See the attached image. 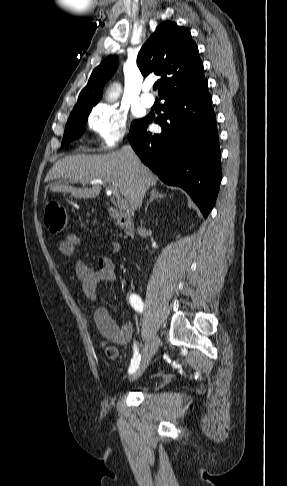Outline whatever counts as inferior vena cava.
Masks as SVG:
<instances>
[{
    "label": "inferior vena cava",
    "mask_w": 287,
    "mask_h": 486,
    "mask_svg": "<svg viewBox=\"0 0 287 486\" xmlns=\"http://www.w3.org/2000/svg\"><path fill=\"white\" fill-rule=\"evenodd\" d=\"M122 150L127 152L134 159V161L136 162L138 168L140 169V171L142 173V178H141L140 186H139L138 193H137V201H138V204L140 206L141 203H142V200H143V198L146 194V191L149 188V184H148L147 179L143 175V171H142L141 166L139 164V160H138L137 156L135 155L134 151L132 150L131 146H129V145L124 146Z\"/></svg>",
    "instance_id": "obj_1"
}]
</instances>
